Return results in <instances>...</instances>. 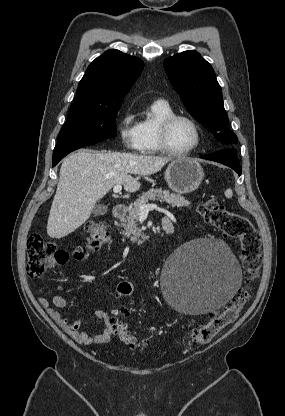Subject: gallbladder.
Segmentation results:
<instances>
[{
	"label": "gallbladder",
	"mask_w": 285,
	"mask_h": 416,
	"mask_svg": "<svg viewBox=\"0 0 285 416\" xmlns=\"http://www.w3.org/2000/svg\"><path fill=\"white\" fill-rule=\"evenodd\" d=\"M106 212H108V208L104 204H96L95 208H93V214L95 216H104Z\"/></svg>",
	"instance_id": "gallbladder-1"
}]
</instances>
